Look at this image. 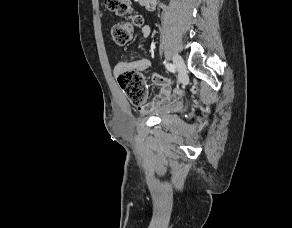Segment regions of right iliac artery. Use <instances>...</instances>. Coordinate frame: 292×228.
Segmentation results:
<instances>
[{
    "instance_id": "right-iliac-artery-1",
    "label": "right iliac artery",
    "mask_w": 292,
    "mask_h": 228,
    "mask_svg": "<svg viewBox=\"0 0 292 228\" xmlns=\"http://www.w3.org/2000/svg\"><path fill=\"white\" fill-rule=\"evenodd\" d=\"M165 66H166V68H167L170 72L175 73L176 68H175V66H174L173 64H171V63H166Z\"/></svg>"
}]
</instances>
